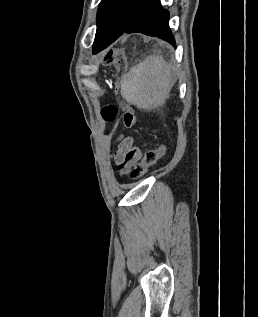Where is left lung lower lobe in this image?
<instances>
[{
	"mask_svg": "<svg viewBox=\"0 0 258 317\" xmlns=\"http://www.w3.org/2000/svg\"><path fill=\"white\" fill-rule=\"evenodd\" d=\"M168 21L169 12L162 8L160 0H131L122 27L97 28L93 54L105 49L124 32H139L158 37L176 47Z\"/></svg>",
	"mask_w": 258,
	"mask_h": 317,
	"instance_id": "left-lung-lower-lobe-1",
	"label": "left lung lower lobe"
}]
</instances>
